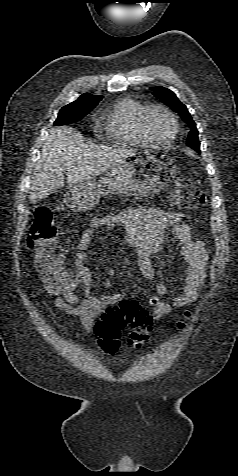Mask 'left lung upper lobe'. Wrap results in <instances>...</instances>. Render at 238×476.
Wrapping results in <instances>:
<instances>
[{"instance_id":"obj_1","label":"left lung upper lobe","mask_w":238,"mask_h":476,"mask_svg":"<svg viewBox=\"0 0 238 476\" xmlns=\"http://www.w3.org/2000/svg\"><path fill=\"white\" fill-rule=\"evenodd\" d=\"M151 90L154 92V96L159 98L162 102L166 105L171 107L174 111H176L182 118L187 122L189 126L193 128L188 134V138L186 141L187 146L200 151V142L198 139V130L195 126V122L191 118L188 109L184 104H182L176 95L169 89L164 88L162 86L151 87Z\"/></svg>"}]
</instances>
